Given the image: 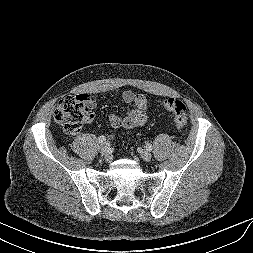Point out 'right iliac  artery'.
Listing matches in <instances>:
<instances>
[{
	"label": "right iliac artery",
	"mask_w": 253,
	"mask_h": 253,
	"mask_svg": "<svg viewBox=\"0 0 253 253\" xmlns=\"http://www.w3.org/2000/svg\"><path fill=\"white\" fill-rule=\"evenodd\" d=\"M98 142L99 143H105L106 142V137L105 136H100L99 138H98Z\"/></svg>",
	"instance_id": "1"
}]
</instances>
